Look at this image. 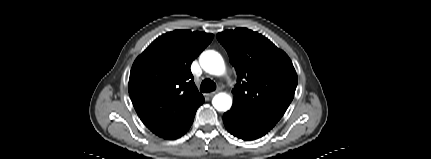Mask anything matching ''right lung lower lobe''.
<instances>
[{
  "label": "right lung lower lobe",
  "mask_w": 431,
  "mask_h": 159,
  "mask_svg": "<svg viewBox=\"0 0 431 159\" xmlns=\"http://www.w3.org/2000/svg\"><path fill=\"white\" fill-rule=\"evenodd\" d=\"M204 102V100L197 106V107H195L193 110H192V112L188 115V117L184 120V122L181 124V126L174 132V133H172L171 135H169L167 138H165V139H169V140H173V139H176V138H179V137H181L182 135H184L187 131H188V129L190 128V126L192 125V123H193V120H194V116H195V113H196V111H197V109H198V107L202 104Z\"/></svg>",
  "instance_id": "right-lung-lower-lobe-1"
}]
</instances>
